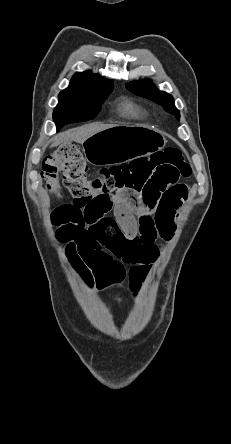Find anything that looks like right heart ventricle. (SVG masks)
I'll use <instances>...</instances> for the list:
<instances>
[{"label": "right heart ventricle", "instance_id": "right-heart-ventricle-1", "mask_svg": "<svg viewBox=\"0 0 231 444\" xmlns=\"http://www.w3.org/2000/svg\"><path fill=\"white\" fill-rule=\"evenodd\" d=\"M120 112L124 116L135 118L146 115V110L132 100H125L121 105Z\"/></svg>", "mask_w": 231, "mask_h": 444}]
</instances>
